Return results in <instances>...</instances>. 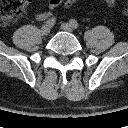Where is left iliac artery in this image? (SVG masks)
Returning <instances> with one entry per match:
<instances>
[{
  "label": "left iliac artery",
  "mask_w": 128,
  "mask_h": 128,
  "mask_svg": "<svg viewBox=\"0 0 128 128\" xmlns=\"http://www.w3.org/2000/svg\"><path fill=\"white\" fill-rule=\"evenodd\" d=\"M69 23H70V25H71L73 28H75V29H77V28L79 27V24H78V22H77L75 19H71V20L69 21Z\"/></svg>",
  "instance_id": "obj_1"
}]
</instances>
